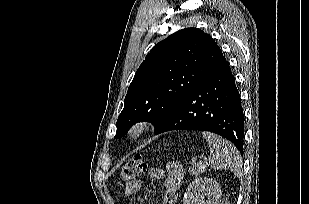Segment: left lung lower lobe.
I'll return each instance as SVG.
<instances>
[{
  "label": "left lung lower lobe",
  "instance_id": "1",
  "mask_svg": "<svg viewBox=\"0 0 309 204\" xmlns=\"http://www.w3.org/2000/svg\"><path fill=\"white\" fill-rule=\"evenodd\" d=\"M171 130L213 132L243 154L244 113L226 60L177 105L155 134Z\"/></svg>",
  "mask_w": 309,
  "mask_h": 204
}]
</instances>
